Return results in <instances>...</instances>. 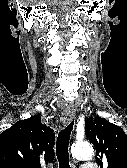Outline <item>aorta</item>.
Masks as SVG:
<instances>
[{
	"label": "aorta",
	"mask_w": 127,
	"mask_h": 168,
	"mask_svg": "<svg viewBox=\"0 0 127 168\" xmlns=\"http://www.w3.org/2000/svg\"><path fill=\"white\" fill-rule=\"evenodd\" d=\"M93 153V148L88 142H79L72 148V155L78 160H90Z\"/></svg>",
	"instance_id": "aorta-1"
}]
</instances>
